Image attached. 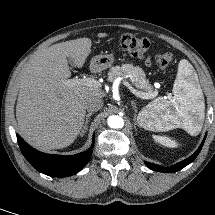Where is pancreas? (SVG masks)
<instances>
[{"mask_svg":"<svg viewBox=\"0 0 215 215\" xmlns=\"http://www.w3.org/2000/svg\"><path fill=\"white\" fill-rule=\"evenodd\" d=\"M119 76H128L144 93H155L140 67L131 64L115 66L108 72V81L113 82Z\"/></svg>","mask_w":215,"mask_h":215,"instance_id":"cf45deb5","label":"pancreas"}]
</instances>
